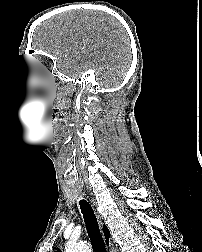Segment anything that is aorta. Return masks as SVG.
Segmentation results:
<instances>
[{"label": "aorta", "mask_w": 202, "mask_h": 252, "mask_svg": "<svg viewBox=\"0 0 202 252\" xmlns=\"http://www.w3.org/2000/svg\"><path fill=\"white\" fill-rule=\"evenodd\" d=\"M66 252H91V248L87 244H71L66 247Z\"/></svg>", "instance_id": "aorta-1"}]
</instances>
